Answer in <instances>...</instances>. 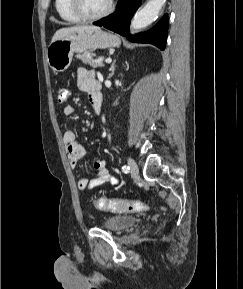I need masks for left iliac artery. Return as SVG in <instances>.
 <instances>
[{
	"instance_id": "left-iliac-artery-1",
	"label": "left iliac artery",
	"mask_w": 243,
	"mask_h": 289,
	"mask_svg": "<svg viewBox=\"0 0 243 289\" xmlns=\"http://www.w3.org/2000/svg\"><path fill=\"white\" fill-rule=\"evenodd\" d=\"M129 166H126V165H124L123 167H122V171L124 172V173H127L128 171H129Z\"/></svg>"
}]
</instances>
